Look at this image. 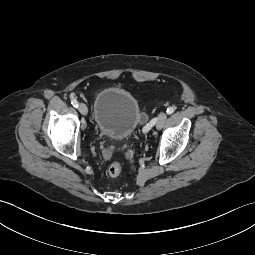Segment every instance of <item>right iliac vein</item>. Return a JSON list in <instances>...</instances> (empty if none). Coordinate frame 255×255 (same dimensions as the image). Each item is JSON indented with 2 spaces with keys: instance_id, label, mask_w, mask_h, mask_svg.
<instances>
[{
  "instance_id": "right-iliac-vein-1",
  "label": "right iliac vein",
  "mask_w": 255,
  "mask_h": 255,
  "mask_svg": "<svg viewBox=\"0 0 255 255\" xmlns=\"http://www.w3.org/2000/svg\"><path fill=\"white\" fill-rule=\"evenodd\" d=\"M78 110H79V112H80L82 115H87V113H88L87 106H86L84 103H80V104L78 105Z\"/></svg>"
}]
</instances>
